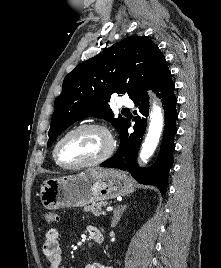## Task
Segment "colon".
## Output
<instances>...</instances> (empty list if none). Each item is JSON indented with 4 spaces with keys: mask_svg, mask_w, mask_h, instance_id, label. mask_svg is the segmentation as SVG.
I'll list each match as a JSON object with an SVG mask.
<instances>
[{
    "mask_svg": "<svg viewBox=\"0 0 221 268\" xmlns=\"http://www.w3.org/2000/svg\"><path fill=\"white\" fill-rule=\"evenodd\" d=\"M58 217L54 212H47L44 216V220L48 225H51L57 221Z\"/></svg>",
    "mask_w": 221,
    "mask_h": 268,
    "instance_id": "1",
    "label": "colon"
}]
</instances>
